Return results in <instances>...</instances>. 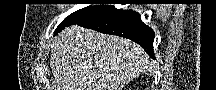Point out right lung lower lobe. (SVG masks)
Masks as SVG:
<instances>
[{
  "label": "right lung lower lobe",
  "instance_id": "right-lung-lower-lobe-1",
  "mask_svg": "<svg viewBox=\"0 0 216 90\" xmlns=\"http://www.w3.org/2000/svg\"><path fill=\"white\" fill-rule=\"evenodd\" d=\"M74 24L101 33L113 34L131 39L141 45L150 57L155 58L153 51L154 32L149 26L145 25L141 21L140 15L137 12L132 10L116 9L113 7L97 16L77 21L70 25Z\"/></svg>",
  "mask_w": 216,
  "mask_h": 90
}]
</instances>
